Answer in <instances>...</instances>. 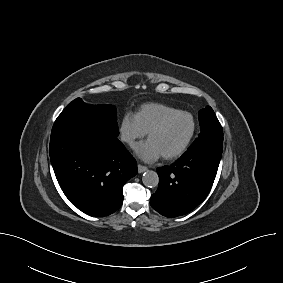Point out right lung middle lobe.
<instances>
[{"label":"right lung middle lobe","mask_w":283,"mask_h":283,"mask_svg":"<svg viewBox=\"0 0 283 283\" xmlns=\"http://www.w3.org/2000/svg\"><path fill=\"white\" fill-rule=\"evenodd\" d=\"M58 124H82L94 127L107 135L117 137V111L114 105H89L80 98L69 103L56 119Z\"/></svg>","instance_id":"right-lung-middle-lobe-1"}]
</instances>
